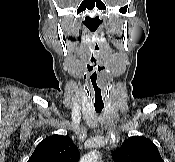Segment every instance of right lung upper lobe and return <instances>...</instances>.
<instances>
[{
    "mask_svg": "<svg viewBox=\"0 0 175 162\" xmlns=\"http://www.w3.org/2000/svg\"><path fill=\"white\" fill-rule=\"evenodd\" d=\"M77 146L69 136L53 135L41 141L28 162H78Z\"/></svg>",
    "mask_w": 175,
    "mask_h": 162,
    "instance_id": "1",
    "label": "right lung upper lobe"
}]
</instances>
